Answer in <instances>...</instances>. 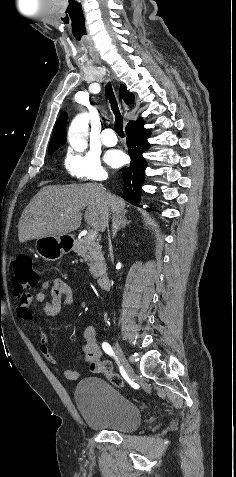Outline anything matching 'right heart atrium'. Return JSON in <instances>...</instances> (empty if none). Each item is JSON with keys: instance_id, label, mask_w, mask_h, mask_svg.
<instances>
[{"instance_id": "d8ad5b80", "label": "right heart atrium", "mask_w": 236, "mask_h": 477, "mask_svg": "<svg viewBox=\"0 0 236 477\" xmlns=\"http://www.w3.org/2000/svg\"><path fill=\"white\" fill-rule=\"evenodd\" d=\"M67 173L83 182H101L107 177V172L99 157L91 152L70 150L64 159Z\"/></svg>"}]
</instances>
